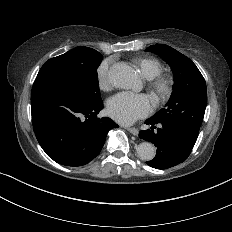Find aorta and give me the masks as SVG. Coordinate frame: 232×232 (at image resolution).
Segmentation results:
<instances>
[{"instance_id": "1", "label": "aorta", "mask_w": 232, "mask_h": 232, "mask_svg": "<svg viewBox=\"0 0 232 232\" xmlns=\"http://www.w3.org/2000/svg\"><path fill=\"white\" fill-rule=\"evenodd\" d=\"M108 80L112 86L120 89H135L139 84L136 71L126 63L113 64L108 72ZM137 153L142 160L150 161L155 157L156 148L150 142L138 145Z\"/></svg>"}]
</instances>
